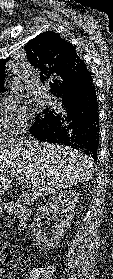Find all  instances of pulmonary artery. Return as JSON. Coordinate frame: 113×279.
Segmentation results:
<instances>
[{
	"label": "pulmonary artery",
	"instance_id": "obj_1",
	"mask_svg": "<svg viewBox=\"0 0 113 279\" xmlns=\"http://www.w3.org/2000/svg\"><path fill=\"white\" fill-rule=\"evenodd\" d=\"M44 98L46 103H52L53 97L51 95H45Z\"/></svg>",
	"mask_w": 113,
	"mask_h": 279
}]
</instances>
